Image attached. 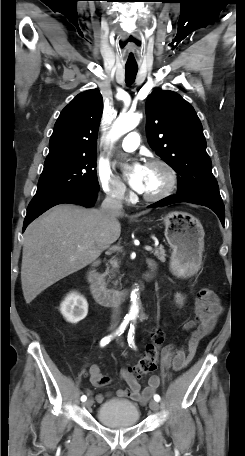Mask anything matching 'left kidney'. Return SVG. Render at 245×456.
Masks as SVG:
<instances>
[{"label":"left kidney","instance_id":"left-kidney-1","mask_svg":"<svg viewBox=\"0 0 245 456\" xmlns=\"http://www.w3.org/2000/svg\"><path fill=\"white\" fill-rule=\"evenodd\" d=\"M176 297H177L178 301H180V300H179L180 296H179V295H177Z\"/></svg>","mask_w":245,"mask_h":456}]
</instances>
